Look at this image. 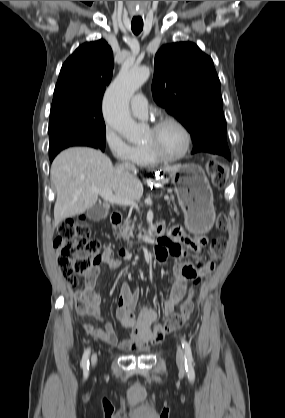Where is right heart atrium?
<instances>
[{
    "mask_svg": "<svg viewBox=\"0 0 285 418\" xmlns=\"http://www.w3.org/2000/svg\"><path fill=\"white\" fill-rule=\"evenodd\" d=\"M103 142L112 156L121 164L136 162L133 145L123 139L110 125H106Z\"/></svg>",
    "mask_w": 285,
    "mask_h": 418,
    "instance_id": "1",
    "label": "right heart atrium"
}]
</instances>
